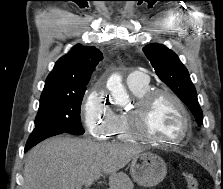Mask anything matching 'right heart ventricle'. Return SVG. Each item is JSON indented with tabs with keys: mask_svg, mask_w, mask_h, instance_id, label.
<instances>
[{
	"mask_svg": "<svg viewBox=\"0 0 223 189\" xmlns=\"http://www.w3.org/2000/svg\"><path fill=\"white\" fill-rule=\"evenodd\" d=\"M130 90L134 96L139 98L150 90V86L147 84L142 87L130 88ZM127 118H128L127 112H119L115 114L114 125L111 135L115 136L121 141L130 142L133 141L134 138L129 131Z\"/></svg>",
	"mask_w": 223,
	"mask_h": 189,
	"instance_id": "right-heart-ventricle-1",
	"label": "right heart ventricle"
}]
</instances>
